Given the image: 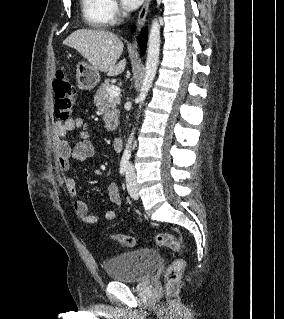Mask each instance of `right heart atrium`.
Here are the masks:
<instances>
[{"label":"right heart atrium","mask_w":284,"mask_h":319,"mask_svg":"<svg viewBox=\"0 0 284 319\" xmlns=\"http://www.w3.org/2000/svg\"><path fill=\"white\" fill-rule=\"evenodd\" d=\"M107 10L110 16L111 22L114 23L120 16V9L115 0H107Z\"/></svg>","instance_id":"1"}]
</instances>
